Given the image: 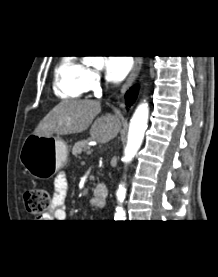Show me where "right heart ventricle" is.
Returning a JSON list of instances; mask_svg holds the SVG:
<instances>
[{
	"instance_id": "right-heart-ventricle-1",
	"label": "right heart ventricle",
	"mask_w": 218,
	"mask_h": 277,
	"mask_svg": "<svg viewBox=\"0 0 218 277\" xmlns=\"http://www.w3.org/2000/svg\"><path fill=\"white\" fill-rule=\"evenodd\" d=\"M88 68L73 57H63L54 71L53 90L62 99H78L87 91Z\"/></svg>"
}]
</instances>
